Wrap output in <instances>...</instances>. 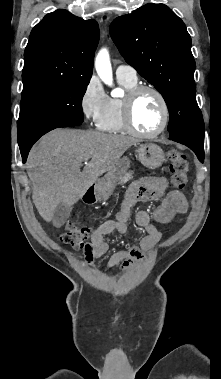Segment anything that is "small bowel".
<instances>
[{
	"instance_id": "small-bowel-1",
	"label": "small bowel",
	"mask_w": 221,
	"mask_h": 379,
	"mask_svg": "<svg viewBox=\"0 0 221 379\" xmlns=\"http://www.w3.org/2000/svg\"><path fill=\"white\" fill-rule=\"evenodd\" d=\"M168 186L169 183L165 177H143L133 182L124 196L115 218L103 222L93 232L91 242L85 249L87 261L92 263L94 259L101 257L108 251L109 245L104 240L106 235L113 232L126 233L132 207L137 202L162 198ZM188 208L189 204L184 193L180 190H171L154 212V218L159 224L167 226L172 223L178 213H185ZM135 219L137 225L144 231L139 245H131L125 250L113 253L108 260L106 270L121 265L123 271H128L161 240V232L151 222L146 211L137 212Z\"/></svg>"
}]
</instances>
